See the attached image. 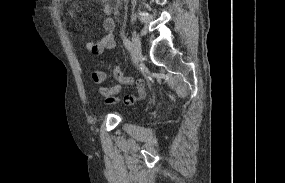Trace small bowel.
I'll return each instance as SVG.
<instances>
[{"label":"small bowel","mask_w":285,"mask_h":183,"mask_svg":"<svg viewBox=\"0 0 285 183\" xmlns=\"http://www.w3.org/2000/svg\"><path fill=\"white\" fill-rule=\"evenodd\" d=\"M99 4L103 11L102 26L104 35L97 41L87 42L86 48L93 55H100L107 49H113L116 45L114 39L115 22L111 17L112 0H99ZM68 15L72 19L73 23L78 25L75 13L72 10H68ZM114 77L122 84H134L137 88V92L140 96L145 94L144 83L142 80H134L133 78L123 76L121 70L116 67L114 69ZM92 81L98 86L99 93L104 97L105 104H112L117 101L116 95L121 90V85L116 84L111 87H106V74L103 71L95 70L91 74ZM135 95L125 96L124 101L127 104H131L135 101Z\"/></svg>","instance_id":"1"}]
</instances>
